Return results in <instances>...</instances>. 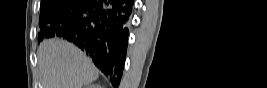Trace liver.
<instances>
[{"label":"liver","instance_id":"obj_1","mask_svg":"<svg viewBox=\"0 0 267 88\" xmlns=\"http://www.w3.org/2000/svg\"><path fill=\"white\" fill-rule=\"evenodd\" d=\"M37 58L42 88H82L99 76L91 60L75 45L62 39L40 43Z\"/></svg>","mask_w":267,"mask_h":88}]
</instances>
